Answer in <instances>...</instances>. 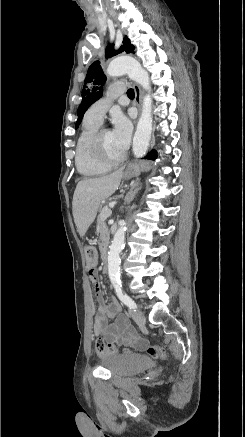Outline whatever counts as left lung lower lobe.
Wrapping results in <instances>:
<instances>
[{
	"mask_svg": "<svg viewBox=\"0 0 245 437\" xmlns=\"http://www.w3.org/2000/svg\"><path fill=\"white\" fill-rule=\"evenodd\" d=\"M156 157H157V154H156V151H151L150 153H148L147 155H146V159H156Z\"/></svg>",
	"mask_w": 245,
	"mask_h": 437,
	"instance_id": "1",
	"label": "left lung lower lobe"
}]
</instances>
